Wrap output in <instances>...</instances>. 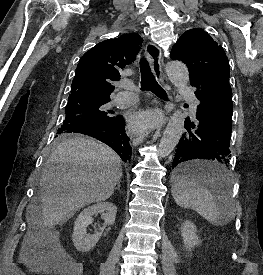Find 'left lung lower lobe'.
Masks as SVG:
<instances>
[{"label": "left lung lower lobe", "mask_w": 263, "mask_h": 275, "mask_svg": "<svg viewBox=\"0 0 263 275\" xmlns=\"http://www.w3.org/2000/svg\"><path fill=\"white\" fill-rule=\"evenodd\" d=\"M196 87L195 95L200 101L197 107V124L185 120L186 132L177 145L172 167H176L178 180H194L216 188L224 180L222 173L189 163L194 160H214L229 164L232 129V90L228 80L209 84L190 81ZM222 165V166H223Z\"/></svg>", "instance_id": "1"}]
</instances>
